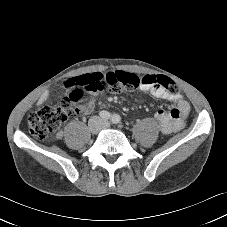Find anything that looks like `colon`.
Returning a JSON list of instances; mask_svg holds the SVG:
<instances>
[{
	"instance_id": "1",
	"label": "colon",
	"mask_w": 227,
	"mask_h": 227,
	"mask_svg": "<svg viewBox=\"0 0 227 227\" xmlns=\"http://www.w3.org/2000/svg\"><path fill=\"white\" fill-rule=\"evenodd\" d=\"M107 81L110 83L109 93H121L133 91L143 84L159 85L168 92H178L177 84L164 75H145L139 77L136 74L115 71L107 73ZM85 92L81 89H71V92L63 97L56 106H45L29 115L28 126L31 135L40 141L46 140L51 133L56 131L64 122L75 118L83 109L82 104Z\"/></svg>"
}]
</instances>
